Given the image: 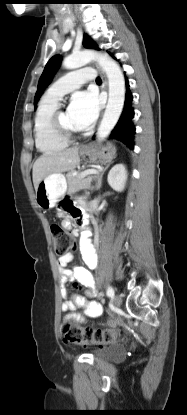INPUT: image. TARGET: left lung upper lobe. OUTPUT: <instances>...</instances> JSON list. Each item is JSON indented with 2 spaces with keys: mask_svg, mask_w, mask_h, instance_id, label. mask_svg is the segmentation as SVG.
<instances>
[{
  "mask_svg": "<svg viewBox=\"0 0 187 415\" xmlns=\"http://www.w3.org/2000/svg\"><path fill=\"white\" fill-rule=\"evenodd\" d=\"M83 46L85 48L98 49L96 43L87 35H84L83 37ZM61 60V56L55 55L47 62L44 71L39 79L38 89L34 98V104L37 103L44 89L50 84L54 74L60 66Z\"/></svg>",
  "mask_w": 187,
  "mask_h": 415,
  "instance_id": "1",
  "label": "left lung upper lobe"
}]
</instances>
